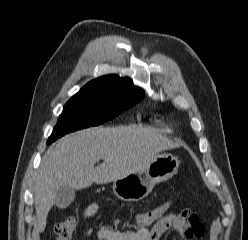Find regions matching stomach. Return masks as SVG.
<instances>
[{
  "label": "stomach",
  "instance_id": "stomach-1",
  "mask_svg": "<svg viewBox=\"0 0 248 240\" xmlns=\"http://www.w3.org/2000/svg\"><path fill=\"white\" fill-rule=\"evenodd\" d=\"M179 163L172 154H158L135 171L115 180L113 193L125 202L139 201L148 196L156 184L176 174Z\"/></svg>",
  "mask_w": 248,
  "mask_h": 240
}]
</instances>
